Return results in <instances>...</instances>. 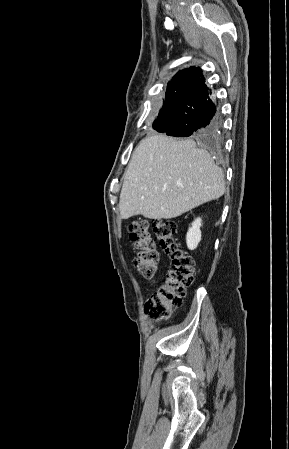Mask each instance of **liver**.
Here are the masks:
<instances>
[{"mask_svg": "<svg viewBox=\"0 0 289 449\" xmlns=\"http://www.w3.org/2000/svg\"><path fill=\"white\" fill-rule=\"evenodd\" d=\"M224 192V173L207 151L191 139L154 135L139 143L128 164L120 217L176 218Z\"/></svg>", "mask_w": 289, "mask_h": 449, "instance_id": "6515ba94", "label": "liver"}]
</instances>
